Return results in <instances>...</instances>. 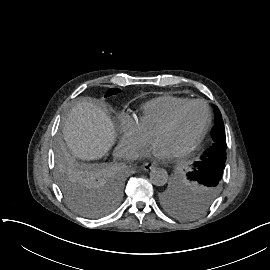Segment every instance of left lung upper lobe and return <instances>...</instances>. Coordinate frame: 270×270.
Wrapping results in <instances>:
<instances>
[{
  "instance_id": "5c2ea615",
  "label": "left lung upper lobe",
  "mask_w": 270,
  "mask_h": 270,
  "mask_svg": "<svg viewBox=\"0 0 270 270\" xmlns=\"http://www.w3.org/2000/svg\"><path fill=\"white\" fill-rule=\"evenodd\" d=\"M214 107V141L211 148L194 163L193 171L176 187L162 195L163 206L172 214L191 217L203 212L217 196L226 161V136L222 115Z\"/></svg>"
}]
</instances>
